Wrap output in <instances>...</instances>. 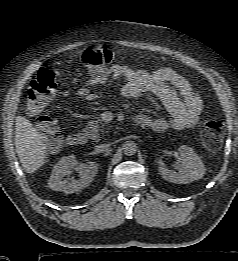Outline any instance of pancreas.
Wrapping results in <instances>:
<instances>
[{
    "mask_svg": "<svg viewBox=\"0 0 238 261\" xmlns=\"http://www.w3.org/2000/svg\"><path fill=\"white\" fill-rule=\"evenodd\" d=\"M83 131L90 139L94 140L95 142L100 141L102 138L99 132L102 134L107 132L105 130V123H103L100 118H93L90 120Z\"/></svg>",
    "mask_w": 238,
    "mask_h": 261,
    "instance_id": "pancreas-1",
    "label": "pancreas"
}]
</instances>
